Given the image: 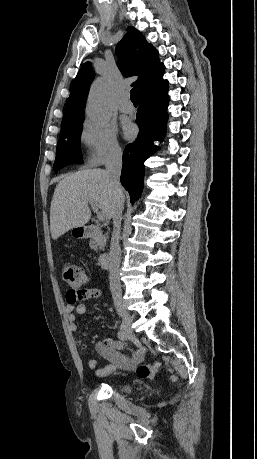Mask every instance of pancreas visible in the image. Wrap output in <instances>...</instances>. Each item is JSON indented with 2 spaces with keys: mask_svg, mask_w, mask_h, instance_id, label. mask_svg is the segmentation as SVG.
<instances>
[{
  "mask_svg": "<svg viewBox=\"0 0 257 459\" xmlns=\"http://www.w3.org/2000/svg\"><path fill=\"white\" fill-rule=\"evenodd\" d=\"M105 236H102L101 233H98V234H95L94 236H92L91 240H90V248L97 251L98 249H101L104 247L105 245Z\"/></svg>",
  "mask_w": 257,
  "mask_h": 459,
  "instance_id": "cf45deb5",
  "label": "pancreas"
}]
</instances>
